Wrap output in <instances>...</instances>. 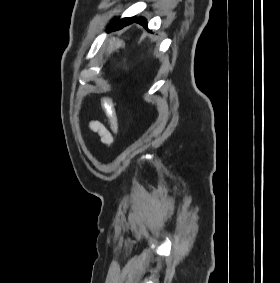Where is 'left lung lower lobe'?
Listing matches in <instances>:
<instances>
[{
  "label": "left lung lower lobe",
  "mask_w": 280,
  "mask_h": 283,
  "mask_svg": "<svg viewBox=\"0 0 280 283\" xmlns=\"http://www.w3.org/2000/svg\"><path fill=\"white\" fill-rule=\"evenodd\" d=\"M133 22L139 23L147 28V22L143 17H139V18L132 17V18H124L122 20L113 21L112 24L109 26V31L119 30L124 26H127Z\"/></svg>",
  "instance_id": "0a47b994"
}]
</instances>
